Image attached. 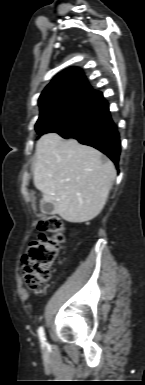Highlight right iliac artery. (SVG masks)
Instances as JSON below:
<instances>
[{
	"mask_svg": "<svg viewBox=\"0 0 145 385\" xmlns=\"http://www.w3.org/2000/svg\"><path fill=\"white\" fill-rule=\"evenodd\" d=\"M38 334H39V338H40V341L42 342V344H45L46 343V337H45V333H44L43 327L39 328Z\"/></svg>",
	"mask_w": 145,
	"mask_h": 385,
	"instance_id": "right-iliac-artery-1",
	"label": "right iliac artery"
}]
</instances>
